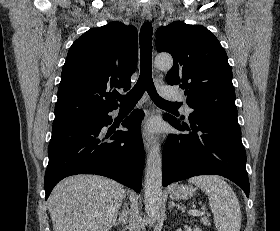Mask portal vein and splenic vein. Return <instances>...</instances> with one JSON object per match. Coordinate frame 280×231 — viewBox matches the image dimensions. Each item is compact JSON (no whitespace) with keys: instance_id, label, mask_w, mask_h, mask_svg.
<instances>
[{"instance_id":"18ae733b","label":"portal vein and splenic vein","mask_w":280,"mask_h":231,"mask_svg":"<svg viewBox=\"0 0 280 231\" xmlns=\"http://www.w3.org/2000/svg\"><path fill=\"white\" fill-rule=\"evenodd\" d=\"M188 213H190V215H205L204 209L203 211H198V209H189Z\"/></svg>"}]
</instances>
